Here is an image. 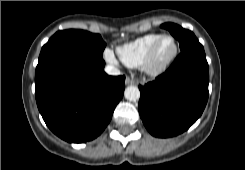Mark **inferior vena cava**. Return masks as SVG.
<instances>
[{"mask_svg": "<svg viewBox=\"0 0 245 170\" xmlns=\"http://www.w3.org/2000/svg\"><path fill=\"white\" fill-rule=\"evenodd\" d=\"M105 72H106L108 75H113V76L120 75V70L117 69L115 66H112V65H107V66L105 67Z\"/></svg>", "mask_w": 245, "mask_h": 170, "instance_id": "obj_1", "label": "inferior vena cava"}]
</instances>
